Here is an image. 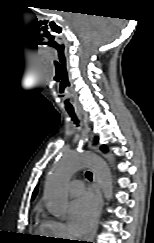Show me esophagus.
<instances>
[{"label": "esophagus", "mask_w": 154, "mask_h": 243, "mask_svg": "<svg viewBox=\"0 0 154 243\" xmlns=\"http://www.w3.org/2000/svg\"><path fill=\"white\" fill-rule=\"evenodd\" d=\"M78 113L81 117L82 122L85 125H87L88 124L87 115L81 110H78ZM89 147L92 148V138L89 142ZM93 188H94V192H95V196H96V218H95L93 229H92L90 235L87 237V242H89V243L93 242L95 235L98 231V227H99V223H100V219H101L102 208H103V199H102L101 190H100L97 178L94 173H93Z\"/></svg>", "instance_id": "obj_1"}]
</instances>
